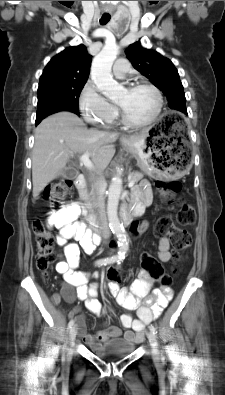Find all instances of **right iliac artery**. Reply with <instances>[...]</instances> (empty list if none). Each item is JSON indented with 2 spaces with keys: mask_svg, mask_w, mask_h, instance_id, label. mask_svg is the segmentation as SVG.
Returning a JSON list of instances; mask_svg holds the SVG:
<instances>
[{
  "mask_svg": "<svg viewBox=\"0 0 225 395\" xmlns=\"http://www.w3.org/2000/svg\"><path fill=\"white\" fill-rule=\"evenodd\" d=\"M116 261H117V257L116 256H112L110 258L107 257V258H104V259L97 260L95 262V265L96 266H102V265L112 264V263H114ZM73 325H74V320H71L68 323V328L71 329L73 327Z\"/></svg>",
  "mask_w": 225,
  "mask_h": 395,
  "instance_id": "right-iliac-artery-1",
  "label": "right iliac artery"
}]
</instances>
